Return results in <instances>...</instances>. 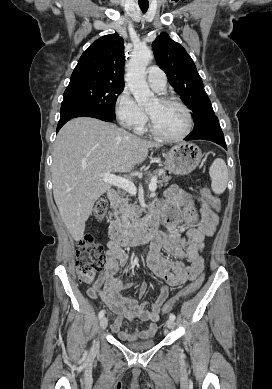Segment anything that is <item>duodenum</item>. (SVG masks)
I'll use <instances>...</instances> for the list:
<instances>
[{
    "label": "duodenum",
    "mask_w": 272,
    "mask_h": 389,
    "mask_svg": "<svg viewBox=\"0 0 272 389\" xmlns=\"http://www.w3.org/2000/svg\"><path fill=\"white\" fill-rule=\"evenodd\" d=\"M107 196L114 203L118 199V192L111 189ZM158 223L159 214L151 209L142 223L133 221L127 228L117 223L112 224L109 231L110 240L121 247H131L141 242H148L154 238Z\"/></svg>",
    "instance_id": "duodenum-1"
}]
</instances>
